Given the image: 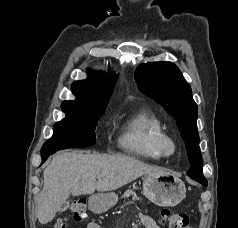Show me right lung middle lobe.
Wrapping results in <instances>:
<instances>
[{
    "label": "right lung middle lobe",
    "instance_id": "right-lung-middle-lobe-1",
    "mask_svg": "<svg viewBox=\"0 0 238 228\" xmlns=\"http://www.w3.org/2000/svg\"><path fill=\"white\" fill-rule=\"evenodd\" d=\"M107 104L97 105L90 112H65L66 117L54 125L53 136L44 143L41 152L93 145L98 119Z\"/></svg>",
    "mask_w": 238,
    "mask_h": 228
}]
</instances>
